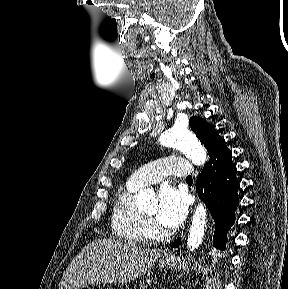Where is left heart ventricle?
I'll list each match as a JSON object with an SVG mask.
<instances>
[{"mask_svg":"<svg viewBox=\"0 0 288 289\" xmlns=\"http://www.w3.org/2000/svg\"><path fill=\"white\" fill-rule=\"evenodd\" d=\"M154 213H155V209L152 210V211H150V212H148L147 214H148L149 216H152Z\"/></svg>","mask_w":288,"mask_h":289,"instance_id":"1","label":"left heart ventricle"}]
</instances>
